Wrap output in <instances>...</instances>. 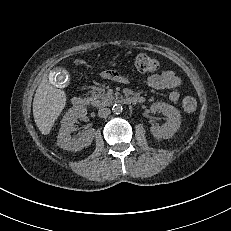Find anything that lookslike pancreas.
I'll use <instances>...</instances> for the list:
<instances>
[{
	"label": "pancreas",
	"mask_w": 231,
	"mask_h": 231,
	"mask_svg": "<svg viewBox=\"0 0 231 231\" xmlns=\"http://www.w3.org/2000/svg\"><path fill=\"white\" fill-rule=\"evenodd\" d=\"M113 99H114L113 96H110L102 92L101 90H98L97 92H93L92 95L88 98L89 103L97 107L109 105Z\"/></svg>",
	"instance_id": "cf45deb5"
}]
</instances>
